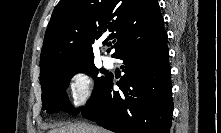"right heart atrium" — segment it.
I'll return each mask as SVG.
<instances>
[{
  "instance_id": "right-heart-atrium-1",
  "label": "right heart atrium",
  "mask_w": 221,
  "mask_h": 133,
  "mask_svg": "<svg viewBox=\"0 0 221 133\" xmlns=\"http://www.w3.org/2000/svg\"><path fill=\"white\" fill-rule=\"evenodd\" d=\"M93 89V78L88 71L79 69L70 74L68 91L74 107H84L92 98Z\"/></svg>"
}]
</instances>
